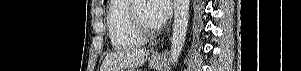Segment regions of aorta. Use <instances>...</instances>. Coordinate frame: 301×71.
I'll list each match as a JSON object with an SVG mask.
<instances>
[{
	"mask_svg": "<svg viewBox=\"0 0 301 71\" xmlns=\"http://www.w3.org/2000/svg\"><path fill=\"white\" fill-rule=\"evenodd\" d=\"M190 0H174V24L171 45V61L177 62L184 46L188 28Z\"/></svg>",
	"mask_w": 301,
	"mask_h": 71,
	"instance_id": "1",
	"label": "aorta"
}]
</instances>
